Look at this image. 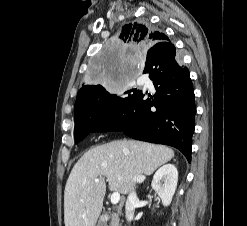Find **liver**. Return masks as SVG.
<instances>
[{
    "label": "liver",
    "instance_id": "liver-1",
    "mask_svg": "<svg viewBox=\"0 0 247 226\" xmlns=\"http://www.w3.org/2000/svg\"><path fill=\"white\" fill-rule=\"evenodd\" d=\"M173 157L171 148L126 139L89 149L74 165L65 186V226L96 225L106 193L105 177L110 191L128 194L135 176L143 181Z\"/></svg>",
    "mask_w": 247,
    "mask_h": 226
}]
</instances>
